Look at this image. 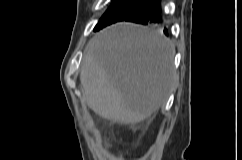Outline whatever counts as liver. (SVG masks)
<instances>
[{
	"instance_id": "obj_1",
	"label": "liver",
	"mask_w": 242,
	"mask_h": 160,
	"mask_svg": "<svg viewBox=\"0 0 242 160\" xmlns=\"http://www.w3.org/2000/svg\"><path fill=\"white\" fill-rule=\"evenodd\" d=\"M175 49L156 31L118 23L87 44L80 81L88 106L122 124L150 117L173 89Z\"/></svg>"
}]
</instances>
